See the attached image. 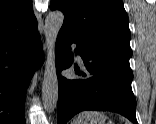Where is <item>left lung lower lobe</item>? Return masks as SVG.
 Returning <instances> with one entry per match:
<instances>
[{
  "instance_id": "left-lung-lower-lobe-1",
  "label": "left lung lower lobe",
  "mask_w": 156,
  "mask_h": 124,
  "mask_svg": "<svg viewBox=\"0 0 156 124\" xmlns=\"http://www.w3.org/2000/svg\"><path fill=\"white\" fill-rule=\"evenodd\" d=\"M80 55L86 72L75 68L78 80L61 76V71L72 65L74 54ZM55 62L58 76L57 124H66L74 115L84 110L112 111L138 124L135 115L136 101L131 88L133 73L129 60L106 50L83 46L68 32L60 30Z\"/></svg>"
}]
</instances>
